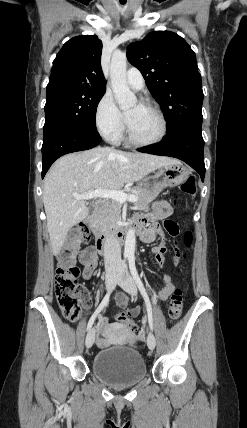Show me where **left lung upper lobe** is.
Returning a JSON list of instances; mask_svg holds the SVG:
<instances>
[{"mask_svg": "<svg viewBox=\"0 0 247 428\" xmlns=\"http://www.w3.org/2000/svg\"><path fill=\"white\" fill-rule=\"evenodd\" d=\"M127 57L160 104L168 133L186 124L202 123L201 75L195 53L182 37L169 31L152 32L130 44Z\"/></svg>", "mask_w": 247, "mask_h": 428, "instance_id": "5c2ea615", "label": "left lung upper lobe"}]
</instances>
